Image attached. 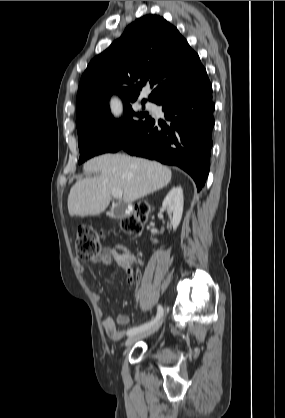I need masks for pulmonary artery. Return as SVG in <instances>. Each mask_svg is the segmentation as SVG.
<instances>
[{
	"label": "pulmonary artery",
	"instance_id": "pulmonary-artery-1",
	"mask_svg": "<svg viewBox=\"0 0 285 418\" xmlns=\"http://www.w3.org/2000/svg\"><path fill=\"white\" fill-rule=\"evenodd\" d=\"M144 105H145V107H146V108H148V109H150V108H152V107H153L152 103H150V102H146Z\"/></svg>",
	"mask_w": 285,
	"mask_h": 418
}]
</instances>
